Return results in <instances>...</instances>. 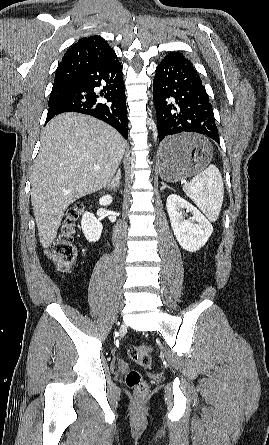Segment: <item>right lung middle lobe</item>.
<instances>
[{"label":"right lung middle lobe","mask_w":269,"mask_h":445,"mask_svg":"<svg viewBox=\"0 0 269 445\" xmlns=\"http://www.w3.org/2000/svg\"><path fill=\"white\" fill-rule=\"evenodd\" d=\"M65 91H66V88L64 86L53 87L51 94H50L49 103H52V102L56 101L57 99L61 98L62 96H64Z\"/></svg>","instance_id":"right-lung-middle-lobe-1"}]
</instances>
